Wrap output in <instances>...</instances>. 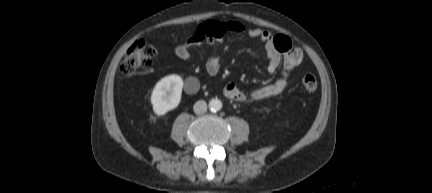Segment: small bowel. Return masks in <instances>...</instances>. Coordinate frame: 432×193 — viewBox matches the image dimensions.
<instances>
[{
  "instance_id": "c3829d8e",
  "label": "small bowel",
  "mask_w": 432,
  "mask_h": 193,
  "mask_svg": "<svg viewBox=\"0 0 432 193\" xmlns=\"http://www.w3.org/2000/svg\"><path fill=\"white\" fill-rule=\"evenodd\" d=\"M219 26L224 33L231 32L236 34H246L247 36L260 40L265 47L268 64L267 70L273 74L282 64L281 76L273 83L261 85L252 89L249 94H245L235 84L229 83L224 87V95L231 100L243 102L247 98L262 100L281 94L288 88L292 80L289 73L295 67L299 66L303 60V53L299 47L292 44V41L283 35H275L267 30L260 28L248 27L237 21L226 22H207L200 25L194 35L185 43L179 44L174 51L176 56L181 60H188L193 51L196 50L201 37L213 27ZM206 72L210 76H215L220 71V58L213 54L205 66ZM199 90V82L195 78H188L185 82V91L188 94H194Z\"/></svg>"
}]
</instances>
